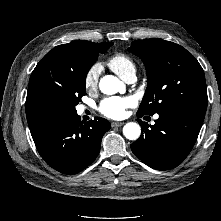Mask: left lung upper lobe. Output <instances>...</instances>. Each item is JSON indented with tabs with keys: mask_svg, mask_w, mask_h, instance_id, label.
<instances>
[{
	"mask_svg": "<svg viewBox=\"0 0 221 221\" xmlns=\"http://www.w3.org/2000/svg\"><path fill=\"white\" fill-rule=\"evenodd\" d=\"M128 50L146 66L148 86L137 113L160 114L187 107L206 112L207 90L202 67L182 46L159 38L136 40Z\"/></svg>",
	"mask_w": 221,
	"mask_h": 221,
	"instance_id": "left-lung-upper-lobe-1",
	"label": "left lung upper lobe"
}]
</instances>
